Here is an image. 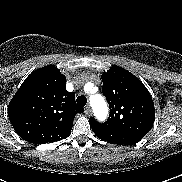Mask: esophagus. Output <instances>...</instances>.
<instances>
[{
    "mask_svg": "<svg viewBox=\"0 0 182 182\" xmlns=\"http://www.w3.org/2000/svg\"><path fill=\"white\" fill-rule=\"evenodd\" d=\"M84 112H85V114H86L87 116H91V115H92L91 107H90L89 105L86 106Z\"/></svg>",
    "mask_w": 182,
    "mask_h": 182,
    "instance_id": "34e87169",
    "label": "esophagus"
}]
</instances>
